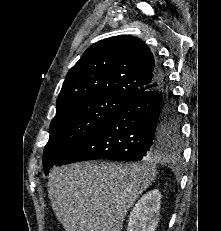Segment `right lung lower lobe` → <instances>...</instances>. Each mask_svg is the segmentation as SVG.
Wrapping results in <instances>:
<instances>
[{
    "label": "right lung lower lobe",
    "mask_w": 221,
    "mask_h": 231,
    "mask_svg": "<svg viewBox=\"0 0 221 231\" xmlns=\"http://www.w3.org/2000/svg\"><path fill=\"white\" fill-rule=\"evenodd\" d=\"M156 76L155 87L128 99L57 165L93 159L138 161L176 148L164 136L171 128V113L176 107L160 63Z\"/></svg>",
    "instance_id": "98d812e1"
}]
</instances>
